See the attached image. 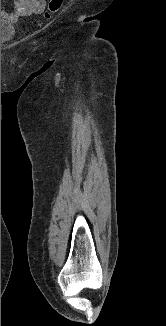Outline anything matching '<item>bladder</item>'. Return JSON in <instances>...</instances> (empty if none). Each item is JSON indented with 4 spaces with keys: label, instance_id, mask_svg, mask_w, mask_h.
Masks as SVG:
<instances>
[{
    "label": "bladder",
    "instance_id": "31cf9c89",
    "mask_svg": "<svg viewBox=\"0 0 166 326\" xmlns=\"http://www.w3.org/2000/svg\"><path fill=\"white\" fill-rule=\"evenodd\" d=\"M15 29L12 21L1 18V44L8 43L14 37Z\"/></svg>",
    "mask_w": 166,
    "mask_h": 326
}]
</instances>
